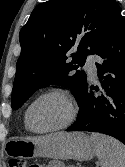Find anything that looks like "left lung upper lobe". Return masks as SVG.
<instances>
[{"label":"left lung upper lobe","mask_w":125,"mask_h":167,"mask_svg":"<svg viewBox=\"0 0 125 167\" xmlns=\"http://www.w3.org/2000/svg\"><path fill=\"white\" fill-rule=\"evenodd\" d=\"M120 12L115 0H49L36 6L19 34L12 108L50 84L70 88L79 101L87 87L79 68L87 55L96 54Z\"/></svg>","instance_id":"5c2ea615"}]
</instances>
